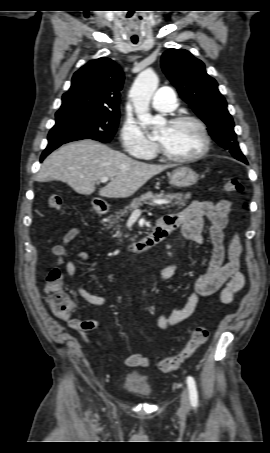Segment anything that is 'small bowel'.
<instances>
[{
	"label": "small bowel",
	"mask_w": 270,
	"mask_h": 453,
	"mask_svg": "<svg viewBox=\"0 0 270 453\" xmlns=\"http://www.w3.org/2000/svg\"><path fill=\"white\" fill-rule=\"evenodd\" d=\"M230 208V201L225 199L217 203L194 201L182 211L168 214L162 218L161 221H164L174 230H181L184 242H193L200 246L205 244L203 229L205 222H208L212 249L206 271L195 282L194 292L187 298L185 304L174 310L169 317L158 316L157 322L161 329H167L188 319L194 313L200 297L209 296L221 290V302L229 304L233 301L234 295L244 286L245 277L240 270L242 246L239 235L237 233L232 234L227 248L224 244ZM80 233V228H71L63 236L62 242L52 248L57 263L65 267L71 278H74L76 274V261L74 259L67 260V252L71 242ZM226 256L227 261L225 262ZM77 258L85 261L87 255L79 253ZM176 267L177 261L175 259L160 272L159 278L161 280L171 279L176 272ZM75 290L80 298L92 306H101L106 302L104 296L93 294L78 284H75ZM58 317L64 320L71 329L79 332L86 343L89 342L86 332L94 330L102 324L100 320H81L72 315ZM151 362L152 359L142 353H134L124 359V364L129 367H147Z\"/></svg>",
	"instance_id": "1"
}]
</instances>
